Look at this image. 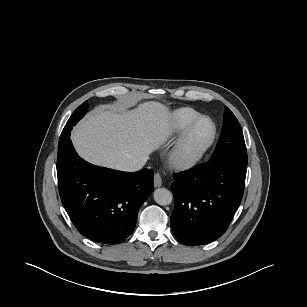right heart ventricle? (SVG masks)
<instances>
[{"label": "right heart ventricle", "mask_w": 307, "mask_h": 307, "mask_svg": "<svg viewBox=\"0 0 307 307\" xmlns=\"http://www.w3.org/2000/svg\"><path fill=\"white\" fill-rule=\"evenodd\" d=\"M199 116L201 115L192 108H181L174 111L170 116V136L174 137L182 133Z\"/></svg>", "instance_id": "right-heart-ventricle-1"}]
</instances>
